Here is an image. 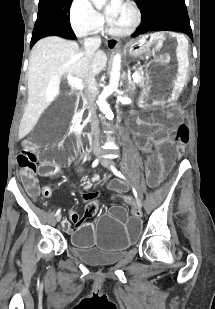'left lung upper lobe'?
Instances as JSON below:
<instances>
[{
  "label": "left lung upper lobe",
  "instance_id": "1",
  "mask_svg": "<svg viewBox=\"0 0 215 309\" xmlns=\"http://www.w3.org/2000/svg\"><path fill=\"white\" fill-rule=\"evenodd\" d=\"M141 9L142 23L133 36L152 30L180 31L192 40L184 0H135Z\"/></svg>",
  "mask_w": 215,
  "mask_h": 309
}]
</instances>
